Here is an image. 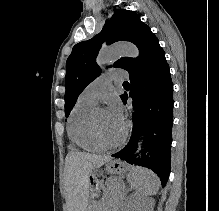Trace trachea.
<instances>
[{"instance_id": "3493384b", "label": "trachea", "mask_w": 219, "mask_h": 211, "mask_svg": "<svg viewBox=\"0 0 219 211\" xmlns=\"http://www.w3.org/2000/svg\"><path fill=\"white\" fill-rule=\"evenodd\" d=\"M124 84H129L128 82H124Z\"/></svg>"}]
</instances>
